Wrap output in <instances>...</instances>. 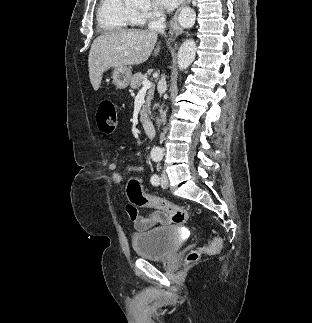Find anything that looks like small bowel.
Listing matches in <instances>:
<instances>
[{"label": "small bowel", "instance_id": "c3829d8e", "mask_svg": "<svg viewBox=\"0 0 312 323\" xmlns=\"http://www.w3.org/2000/svg\"><path fill=\"white\" fill-rule=\"evenodd\" d=\"M134 154L137 158H142L140 151H136ZM108 167L112 172L113 181L120 184L123 181V176L118 171V163L115 161L110 162ZM143 169L144 166L142 163L130 164L126 167V170L130 172H141ZM129 218L137 231H146L158 225H168L171 222L170 217L162 211H153L147 215H142L138 212L137 216H129Z\"/></svg>", "mask_w": 312, "mask_h": 323}]
</instances>
